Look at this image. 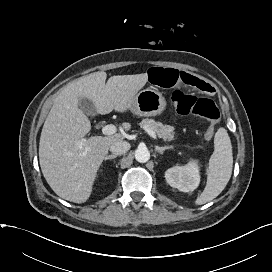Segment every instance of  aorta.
Listing matches in <instances>:
<instances>
[{
  "label": "aorta",
  "mask_w": 272,
  "mask_h": 272,
  "mask_svg": "<svg viewBox=\"0 0 272 272\" xmlns=\"http://www.w3.org/2000/svg\"><path fill=\"white\" fill-rule=\"evenodd\" d=\"M135 159L140 163H146L150 159V152L146 147H139L135 151Z\"/></svg>",
  "instance_id": "obj_1"
}]
</instances>
